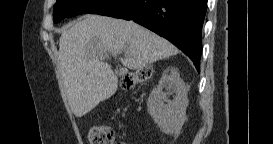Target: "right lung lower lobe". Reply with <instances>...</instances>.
<instances>
[{"label": "right lung lower lobe", "instance_id": "1", "mask_svg": "<svg viewBox=\"0 0 273 144\" xmlns=\"http://www.w3.org/2000/svg\"><path fill=\"white\" fill-rule=\"evenodd\" d=\"M207 0H109L91 14L132 20L166 38L200 71Z\"/></svg>", "mask_w": 273, "mask_h": 144}]
</instances>
